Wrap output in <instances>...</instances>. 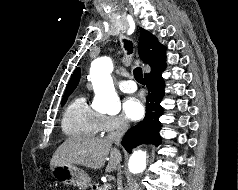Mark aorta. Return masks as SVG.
Segmentation results:
<instances>
[{
    "mask_svg": "<svg viewBox=\"0 0 238 190\" xmlns=\"http://www.w3.org/2000/svg\"><path fill=\"white\" fill-rule=\"evenodd\" d=\"M112 61L109 57L95 59L90 68V77L96 94V108L107 113H119L121 104L115 92L111 72ZM146 167V153L135 151L129 160V169L133 173H140Z\"/></svg>",
    "mask_w": 238,
    "mask_h": 190,
    "instance_id": "1",
    "label": "aorta"
}]
</instances>
